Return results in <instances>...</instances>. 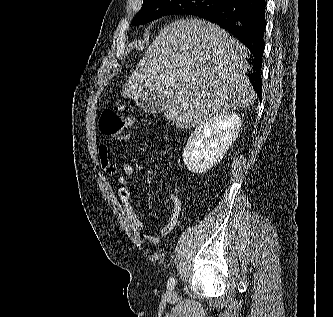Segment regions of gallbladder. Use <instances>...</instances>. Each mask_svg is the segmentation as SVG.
Instances as JSON below:
<instances>
[{
    "label": "gallbladder",
    "instance_id": "1",
    "mask_svg": "<svg viewBox=\"0 0 333 317\" xmlns=\"http://www.w3.org/2000/svg\"><path fill=\"white\" fill-rule=\"evenodd\" d=\"M135 102L145 113L157 114L163 111L166 99L164 96H148L138 98Z\"/></svg>",
    "mask_w": 333,
    "mask_h": 317
}]
</instances>
